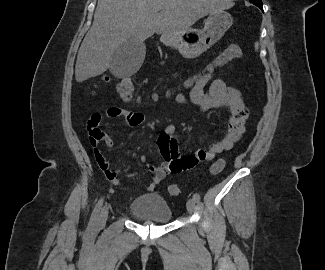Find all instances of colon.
I'll list each match as a JSON object with an SVG mask.
<instances>
[{
  "label": "colon",
  "mask_w": 325,
  "mask_h": 270,
  "mask_svg": "<svg viewBox=\"0 0 325 270\" xmlns=\"http://www.w3.org/2000/svg\"><path fill=\"white\" fill-rule=\"evenodd\" d=\"M242 57V49L236 44L228 46L222 53L215 57L211 62L206 64L203 68L197 70L190 76H188L182 83L174 87L167 88L162 92L150 93L145 99L151 102H157L162 99H175L178 95L184 94L185 90H191L194 86L200 84L207 75L215 72L218 68L224 66L233 59ZM105 81L109 78L105 77ZM135 86L130 78H122L117 84V93L121 100L130 102L134 100ZM89 139L92 146H96L100 140L105 139L104 132L98 125L87 126ZM225 167V160H217L210 168V173L213 175L219 174ZM171 196H177L180 194L181 189L178 185L172 184L168 188Z\"/></svg>",
  "instance_id": "obj_1"
}]
</instances>
